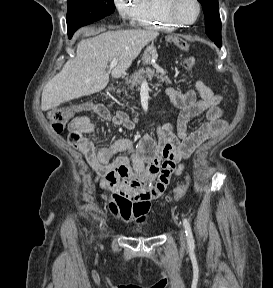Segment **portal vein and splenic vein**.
<instances>
[{"mask_svg": "<svg viewBox=\"0 0 273 288\" xmlns=\"http://www.w3.org/2000/svg\"><path fill=\"white\" fill-rule=\"evenodd\" d=\"M117 63H118V59L113 58L110 65H109L110 69L114 68L117 65ZM143 83H146V81H144Z\"/></svg>", "mask_w": 273, "mask_h": 288, "instance_id": "obj_1", "label": "portal vein and splenic vein"}]
</instances>
